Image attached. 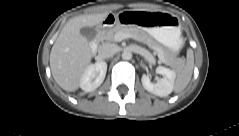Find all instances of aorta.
Instances as JSON below:
<instances>
[{
    "instance_id": "1",
    "label": "aorta",
    "mask_w": 239,
    "mask_h": 136,
    "mask_svg": "<svg viewBox=\"0 0 239 136\" xmlns=\"http://www.w3.org/2000/svg\"><path fill=\"white\" fill-rule=\"evenodd\" d=\"M122 58L124 60H130L132 58V53L129 50H124L122 53Z\"/></svg>"
}]
</instances>
